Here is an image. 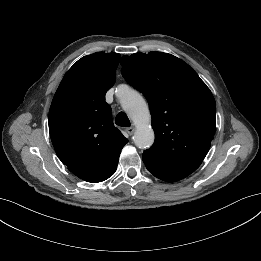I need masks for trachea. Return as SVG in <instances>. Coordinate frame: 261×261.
<instances>
[{"label":"trachea","mask_w":261,"mask_h":261,"mask_svg":"<svg viewBox=\"0 0 261 261\" xmlns=\"http://www.w3.org/2000/svg\"><path fill=\"white\" fill-rule=\"evenodd\" d=\"M115 123L121 127H128L130 126V120L128 119L127 115L124 112H119L116 116Z\"/></svg>","instance_id":"obj_1"}]
</instances>
